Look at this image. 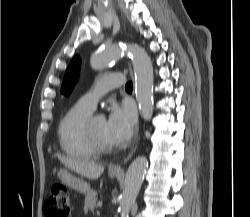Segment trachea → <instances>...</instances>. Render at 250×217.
<instances>
[{"label":"trachea","mask_w":250,"mask_h":217,"mask_svg":"<svg viewBox=\"0 0 250 217\" xmlns=\"http://www.w3.org/2000/svg\"><path fill=\"white\" fill-rule=\"evenodd\" d=\"M126 90H132L133 89V83L132 82H128L125 86Z\"/></svg>","instance_id":"obj_1"}]
</instances>
